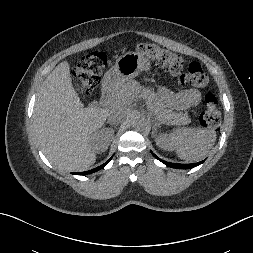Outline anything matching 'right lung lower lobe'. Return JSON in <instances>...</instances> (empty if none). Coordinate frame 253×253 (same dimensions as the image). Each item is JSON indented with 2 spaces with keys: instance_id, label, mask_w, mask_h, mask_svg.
<instances>
[{
  "instance_id": "obj_1",
  "label": "right lung lower lobe",
  "mask_w": 253,
  "mask_h": 253,
  "mask_svg": "<svg viewBox=\"0 0 253 253\" xmlns=\"http://www.w3.org/2000/svg\"><path fill=\"white\" fill-rule=\"evenodd\" d=\"M110 160H111V158H110L106 163H104L103 165H101V166H99V167H97V168H94V169H92V170L85 171V172H80V173H73V174H76V175L91 174V173H93V172H96V171H98V170L104 168V166H105Z\"/></svg>"
}]
</instances>
